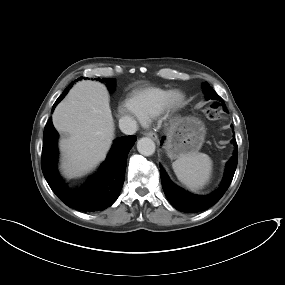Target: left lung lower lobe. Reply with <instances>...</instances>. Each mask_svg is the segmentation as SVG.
Returning <instances> with one entry per match:
<instances>
[{
    "mask_svg": "<svg viewBox=\"0 0 285 285\" xmlns=\"http://www.w3.org/2000/svg\"><path fill=\"white\" fill-rule=\"evenodd\" d=\"M231 127L233 128L232 125ZM163 141L164 138L162 139L161 143H163ZM232 142L234 143L235 146L234 155L227 162L226 172L221 182V185L212 194L206 196H198L186 192L182 188L175 185L169 179L167 173L162 168V166H160V176H161L163 190L165 192L167 199L177 210L182 212H192V213L203 211L214 205L223 196V194L225 193V191L227 190L233 179L237 167V160H238L237 143L234 138L232 139Z\"/></svg>",
    "mask_w": 285,
    "mask_h": 285,
    "instance_id": "0a47b994",
    "label": "left lung lower lobe"
}]
</instances>
